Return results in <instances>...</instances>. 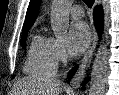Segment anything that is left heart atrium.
<instances>
[{
  "label": "left heart atrium",
  "instance_id": "1",
  "mask_svg": "<svg viewBox=\"0 0 119 95\" xmlns=\"http://www.w3.org/2000/svg\"><path fill=\"white\" fill-rule=\"evenodd\" d=\"M91 33L87 24L74 21L70 25L68 47L72 54H81L88 46Z\"/></svg>",
  "mask_w": 119,
  "mask_h": 95
}]
</instances>
